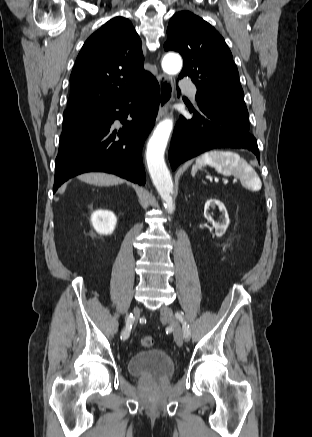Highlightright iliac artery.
I'll return each mask as SVG.
<instances>
[{
	"instance_id": "1",
	"label": "right iliac artery",
	"mask_w": 312,
	"mask_h": 437,
	"mask_svg": "<svg viewBox=\"0 0 312 437\" xmlns=\"http://www.w3.org/2000/svg\"><path fill=\"white\" fill-rule=\"evenodd\" d=\"M134 322V317L132 314L126 317V327L121 334V339L125 340L129 337L130 330L132 328V324Z\"/></svg>"
}]
</instances>
